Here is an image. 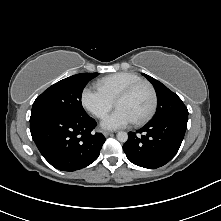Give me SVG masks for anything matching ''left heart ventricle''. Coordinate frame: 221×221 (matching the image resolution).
Returning a JSON list of instances; mask_svg holds the SVG:
<instances>
[{
    "instance_id": "1",
    "label": "left heart ventricle",
    "mask_w": 221,
    "mask_h": 221,
    "mask_svg": "<svg viewBox=\"0 0 221 221\" xmlns=\"http://www.w3.org/2000/svg\"><path fill=\"white\" fill-rule=\"evenodd\" d=\"M152 105V94L148 86L136 89L129 97L121 100L117 108L125 110L136 121L147 114Z\"/></svg>"
}]
</instances>
